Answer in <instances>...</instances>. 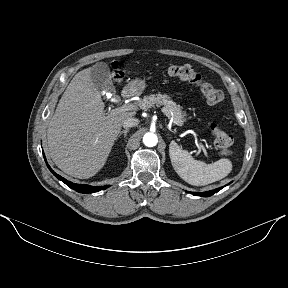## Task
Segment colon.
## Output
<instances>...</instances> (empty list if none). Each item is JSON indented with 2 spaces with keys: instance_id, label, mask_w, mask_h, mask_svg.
<instances>
[{
  "instance_id": "1",
  "label": "colon",
  "mask_w": 288,
  "mask_h": 288,
  "mask_svg": "<svg viewBox=\"0 0 288 288\" xmlns=\"http://www.w3.org/2000/svg\"><path fill=\"white\" fill-rule=\"evenodd\" d=\"M167 73L170 77L189 82L199 87L205 101L211 106L220 105L224 101V95L221 90L212 84L204 82L201 75L189 65H172L168 67ZM122 72L118 66H114V78L121 81ZM210 134L214 138V145L222 156L231 154L232 138L221 130L216 124L210 125Z\"/></svg>"
}]
</instances>
